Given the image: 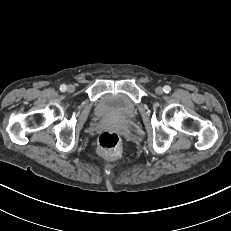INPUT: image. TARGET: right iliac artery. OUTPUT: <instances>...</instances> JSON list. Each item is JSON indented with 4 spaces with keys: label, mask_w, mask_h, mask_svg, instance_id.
Segmentation results:
<instances>
[{
    "label": "right iliac artery",
    "mask_w": 231,
    "mask_h": 231,
    "mask_svg": "<svg viewBox=\"0 0 231 231\" xmlns=\"http://www.w3.org/2000/svg\"><path fill=\"white\" fill-rule=\"evenodd\" d=\"M66 89H67V86H66L65 84H62V85L60 86V91H61V92H65Z\"/></svg>",
    "instance_id": "obj_1"
}]
</instances>
